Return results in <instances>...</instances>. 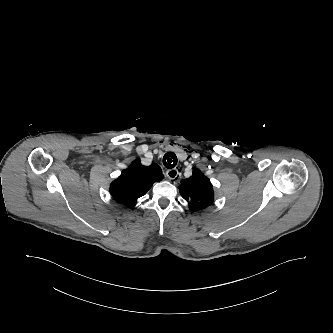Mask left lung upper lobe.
<instances>
[{"instance_id":"1","label":"left lung upper lobe","mask_w":333,"mask_h":333,"mask_svg":"<svg viewBox=\"0 0 333 333\" xmlns=\"http://www.w3.org/2000/svg\"><path fill=\"white\" fill-rule=\"evenodd\" d=\"M179 191L192 211L206 208L214 200L212 184L199 170L194 171L190 178L181 181Z\"/></svg>"}]
</instances>
